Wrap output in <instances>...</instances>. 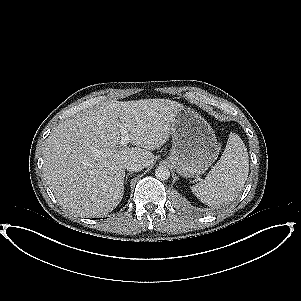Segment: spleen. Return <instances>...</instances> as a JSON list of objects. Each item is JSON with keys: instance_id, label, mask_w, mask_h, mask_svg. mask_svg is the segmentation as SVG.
Listing matches in <instances>:
<instances>
[{"instance_id": "3e777b00", "label": "spleen", "mask_w": 301, "mask_h": 301, "mask_svg": "<svg viewBox=\"0 0 301 301\" xmlns=\"http://www.w3.org/2000/svg\"><path fill=\"white\" fill-rule=\"evenodd\" d=\"M249 172L248 153L239 137L231 136L225 150L206 178L191 187L207 205L220 204L234 196L244 185Z\"/></svg>"}]
</instances>
